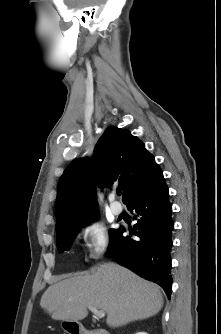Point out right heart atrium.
Returning <instances> with one entry per match:
<instances>
[{
	"label": "right heart atrium",
	"instance_id": "obj_1",
	"mask_svg": "<svg viewBox=\"0 0 221 334\" xmlns=\"http://www.w3.org/2000/svg\"><path fill=\"white\" fill-rule=\"evenodd\" d=\"M80 234L88 258L91 261L101 259L110 244L105 225L99 220L91 219L82 225Z\"/></svg>",
	"mask_w": 221,
	"mask_h": 334
}]
</instances>
